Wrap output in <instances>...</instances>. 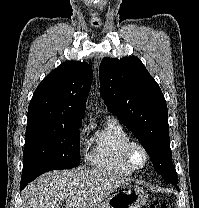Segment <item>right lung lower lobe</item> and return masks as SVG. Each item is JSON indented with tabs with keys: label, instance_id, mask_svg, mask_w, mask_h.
Segmentation results:
<instances>
[{
	"label": "right lung lower lobe",
	"instance_id": "right-lung-lower-lobe-1",
	"mask_svg": "<svg viewBox=\"0 0 199 208\" xmlns=\"http://www.w3.org/2000/svg\"><path fill=\"white\" fill-rule=\"evenodd\" d=\"M29 182V180H21L20 189H23Z\"/></svg>",
	"mask_w": 199,
	"mask_h": 208
}]
</instances>
